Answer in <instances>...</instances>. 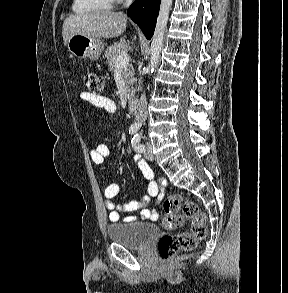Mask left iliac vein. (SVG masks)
I'll use <instances>...</instances> for the list:
<instances>
[{
  "label": "left iliac vein",
  "mask_w": 288,
  "mask_h": 293,
  "mask_svg": "<svg viewBox=\"0 0 288 293\" xmlns=\"http://www.w3.org/2000/svg\"><path fill=\"white\" fill-rule=\"evenodd\" d=\"M145 157L150 161L154 160V156L152 154L151 146L149 143H147V146H146Z\"/></svg>",
  "instance_id": "obj_1"
}]
</instances>
